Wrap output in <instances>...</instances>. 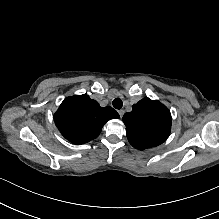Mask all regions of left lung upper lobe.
<instances>
[{
  "instance_id": "obj_1",
  "label": "left lung upper lobe",
  "mask_w": 219,
  "mask_h": 219,
  "mask_svg": "<svg viewBox=\"0 0 219 219\" xmlns=\"http://www.w3.org/2000/svg\"><path fill=\"white\" fill-rule=\"evenodd\" d=\"M171 113L158 100L144 98L123 116L130 144L145 150L162 144L171 130Z\"/></svg>"
}]
</instances>
